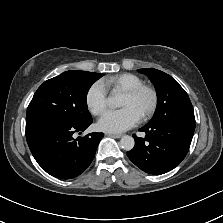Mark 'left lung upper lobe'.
<instances>
[{
    "label": "left lung upper lobe",
    "instance_id": "5c2ea615",
    "mask_svg": "<svg viewBox=\"0 0 223 223\" xmlns=\"http://www.w3.org/2000/svg\"><path fill=\"white\" fill-rule=\"evenodd\" d=\"M154 84L158 104L149 125L176 124L195 128V116L191 101L185 90L170 75L154 69H139Z\"/></svg>",
    "mask_w": 223,
    "mask_h": 223
}]
</instances>
